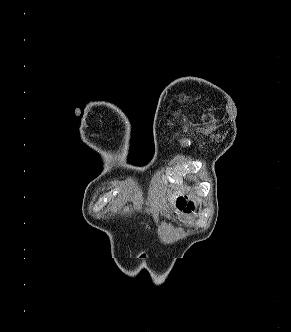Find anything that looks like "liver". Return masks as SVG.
<instances>
[{
	"mask_svg": "<svg viewBox=\"0 0 291 332\" xmlns=\"http://www.w3.org/2000/svg\"><path fill=\"white\" fill-rule=\"evenodd\" d=\"M181 194H182L181 191H175L173 194L169 195L168 199H169L171 206L175 205V201H176L177 197L180 196Z\"/></svg>",
	"mask_w": 291,
	"mask_h": 332,
	"instance_id": "liver-1",
	"label": "liver"
}]
</instances>
